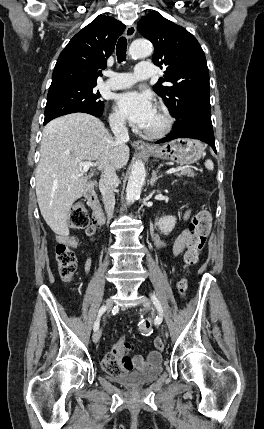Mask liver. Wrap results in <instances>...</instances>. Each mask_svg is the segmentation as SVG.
Here are the masks:
<instances>
[{"label": "liver", "instance_id": "1", "mask_svg": "<svg viewBox=\"0 0 264 429\" xmlns=\"http://www.w3.org/2000/svg\"><path fill=\"white\" fill-rule=\"evenodd\" d=\"M128 160L129 147L116 142L98 118L72 113L50 121L43 129L35 176L38 205L53 232L69 234V210L94 175L91 170L87 176L79 162L94 161L101 170L107 164L123 168Z\"/></svg>", "mask_w": 264, "mask_h": 429}]
</instances>
